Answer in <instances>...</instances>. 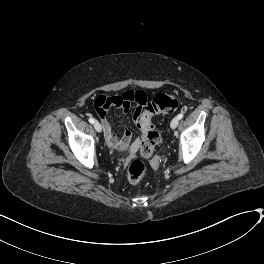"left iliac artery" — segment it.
Masks as SVG:
<instances>
[{"mask_svg":"<svg viewBox=\"0 0 264 264\" xmlns=\"http://www.w3.org/2000/svg\"><path fill=\"white\" fill-rule=\"evenodd\" d=\"M183 116H184V115H183L182 113H180V114L177 115V117H178L179 120L182 119Z\"/></svg>","mask_w":264,"mask_h":264,"instance_id":"44dca946","label":"left iliac artery"}]
</instances>
